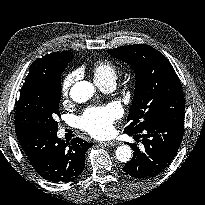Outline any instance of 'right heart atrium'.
<instances>
[{"mask_svg":"<svg viewBox=\"0 0 205 205\" xmlns=\"http://www.w3.org/2000/svg\"><path fill=\"white\" fill-rule=\"evenodd\" d=\"M76 78L77 76L75 72H72L66 75V77L64 78L62 82V86H61V94L63 97H66L68 95L69 90L72 84L75 82Z\"/></svg>","mask_w":205,"mask_h":205,"instance_id":"d8ad5b80","label":"right heart atrium"}]
</instances>
